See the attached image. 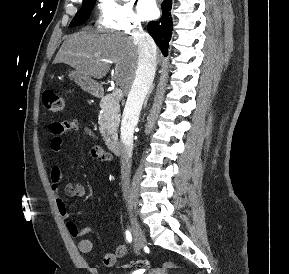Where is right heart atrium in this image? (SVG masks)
<instances>
[{
	"label": "right heart atrium",
	"instance_id": "right-heart-atrium-1",
	"mask_svg": "<svg viewBox=\"0 0 289 274\" xmlns=\"http://www.w3.org/2000/svg\"><path fill=\"white\" fill-rule=\"evenodd\" d=\"M98 26L101 29L134 34L141 30L142 22L129 1L99 0Z\"/></svg>",
	"mask_w": 289,
	"mask_h": 274
}]
</instances>
